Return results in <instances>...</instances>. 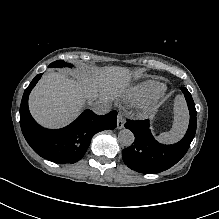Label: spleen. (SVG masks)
<instances>
[{
	"instance_id": "3e777b00",
	"label": "spleen",
	"mask_w": 219,
	"mask_h": 219,
	"mask_svg": "<svg viewBox=\"0 0 219 219\" xmlns=\"http://www.w3.org/2000/svg\"><path fill=\"white\" fill-rule=\"evenodd\" d=\"M174 121L169 132L161 133L157 139L161 143L173 144L178 142L188 128L189 113L183 95H177L174 100Z\"/></svg>"
}]
</instances>
